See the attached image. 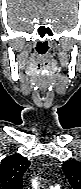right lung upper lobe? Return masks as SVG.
<instances>
[{"mask_svg":"<svg viewBox=\"0 0 81 189\" xmlns=\"http://www.w3.org/2000/svg\"><path fill=\"white\" fill-rule=\"evenodd\" d=\"M30 162L20 154L4 158L0 165V189H23L22 176Z\"/></svg>","mask_w":81,"mask_h":189,"instance_id":"obj_1","label":"right lung upper lobe"}]
</instances>
